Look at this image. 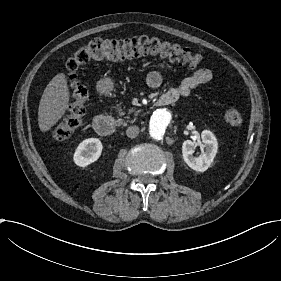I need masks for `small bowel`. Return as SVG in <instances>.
I'll return each mask as SVG.
<instances>
[{
  "label": "small bowel",
  "instance_id": "obj_1",
  "mask_svg": "<svg viewBox=\"0 0 281 281\" xmlns=\"http://www.w3.org/2000/svg\"><path fill=\"white\" fill-rule=\"evenodd\" d=\"M211 79L209 70L201 68L194 72L190 77L183 79L175 88L170 90L162 97L154 99L155 105H160L163 102L165 105L175 102L179 98L187 97L193 90L208 83ZM163 83L162 76L157 71H151L147 75V84L151 89L159 88Z\"/></svg>",
  "mask_w": 281,
  "mask_h": 281
}]
</instances>
